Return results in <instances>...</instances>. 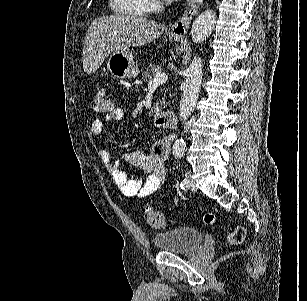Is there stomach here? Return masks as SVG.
I'll return each instance as SVG.
<instances>
[{
	"instance_id": "stomach-1",
	"label": "stomach",
	"mask_w": 307,
	"mask_h": 301,
	"mask_svg": "<svg viewBox=\"0 0 307 301\" xmlns=\"http://www.w3.org/2000/svg\"><path fill=\"white\" fill-rule=\"evenodd\" d=\"M173 40L181 42L183 36H174ZM108 68L115 78H135L139 74L137 62L134 60L133 48H126V50H116L112 52L108 60Z\"/></svg>"
}]
</instances>
